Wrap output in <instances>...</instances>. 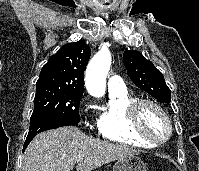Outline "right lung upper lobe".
Instances as JSON below:
<instances>
[{
  "mask_svg": "<svg viewBox=\"0 0 199 171\" xmlns=\"http://www.w3.org/2000/svg\"><path fill=\"white\" fill-rule=\"evenodd\" d=\"M90 55V47L83 40L63 45L43 66L36 86H53L83 93V73Z\"/></svg>",
  "mask_w": 199,
  "mask_h": 171,
  "instance_id": "1",
  "label": "right lung upper lobe"
}]
</instances>
